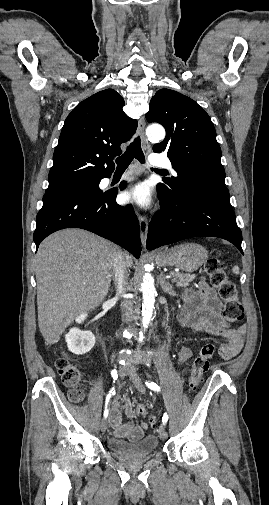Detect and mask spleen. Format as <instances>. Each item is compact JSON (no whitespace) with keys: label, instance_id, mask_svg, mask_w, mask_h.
<instances>
[{"label":"spleen","instance_id":"3e777b00","mask_svg":"<svg viewBox=\"0 0 269 505\" xmlns=\"http://www.w3.org/2000/svg\"><path fill=\"white\" fill-rule=\"evenodd\" d=\"M232 272L234 274H236V275L239 274V267L238 266H234L233 269H232Z\"/></svg>","mask_w":269,"mask_h":505}]
</instances>
